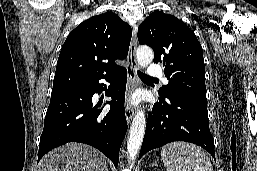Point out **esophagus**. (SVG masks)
I'll return each mask as SVG.
<instances>
[{
	"label": "esophagus",
	"instance_id": "34e87169",
	"mask_svg": "<svg viewBox=\"0 0 257 171\" xmlns=\"http://www.w3.org/2000/svg\"><path fill=\"white\" fill-rule=\"evenodd\" d=\"M136 47H137V26L134 25L132 39H131L130 48H129V54H128L129 64L127 67L128 81L130 84L129 92L132 91V89L137 83L136 71L138 67H137V61H136ZM125 116L128 123L132 120L134 116V107L129 103V101H127L125 104Z\"/></svg>",
	"mask_w": 257,
	"mask_h": 171
}]
</instances>
